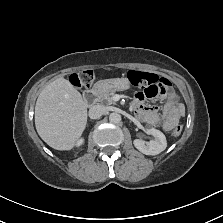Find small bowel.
Wrapping results in <instances>:
<instances>
[{"instance_id": "small-bowel-1", "label": "small bowel", "mask_w": 223, "mask_h": 223, "mask_svg": "<svg viewBox=\"0 0 223 223\" xmlns=\"http://www.w3.org/2000/svg\"><path fill=\"white\" fill-rule=\"evenodd\" d=\"M164 79V78H163ZM165 89L153 95L149 89L138 92L134 96L133 108L137 116L145 123L160 126L165 131H170L178 123L181 116L185 113V108L177 102V96L171 88V84L167 79ZM165 99L162 107V114L158 112V108L145 103L147 98Z\"/></svg>"}]
</instances>
